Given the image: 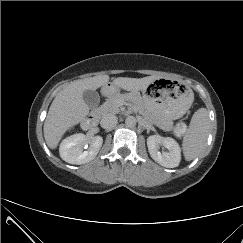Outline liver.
I'll return each mask as SVG.
<instances>
[{
    "instance_id": "6515ba94",
    "label": "liver",
    "mask_w": 243,
    "mask_h": 243,
    "mask_svg": "<svg viewBox=\"0 0 243 243\" xmlns=\"http://www.w3.org/2000/svg\"><path fill=\"white\" fill-rule=\"evenodd\" d=\"M159 76L143 78L118 77L113 86L126 91L137 92L146 89ZM108 75L94 76L77 80L61 90L53 100L44 122V138L50 149H55L64 133L79 124L89 113V107L83 99L85 90H96L109 82Z\"/></svg>"
}]
</instances>
